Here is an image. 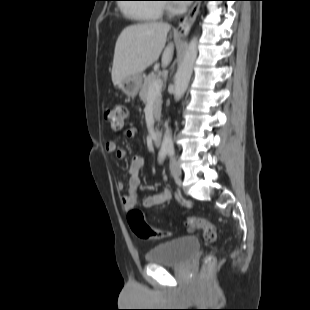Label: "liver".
<instances>
[{
    "label": "liver",
    "mask_w": 310,
    "mask_h": 310,
    "mask_svg": "<svg viewBox=\"0 0 310 310\" xmlns=\"http://www.w3.org/2000/svg\"><path fill=\"white\" fill-rule=\"evenodd\" d=\"M171 26L167 23L150 22L126 27L119 35L114 51L111 77L117 83L129 76H139L155 63L166 43ZM173 55V44L162 54L166 67Z\"/></svg>",
    "instance_id": "liver-1"
}]
</instances>
